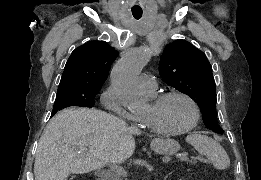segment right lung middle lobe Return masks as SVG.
Returning a JSON list of instances; mask_svg holds the SVG:
<instances>
[{"label": "right lung middle lobe", "mask_w": 261, "mask_h": 180, "mask_svg": "<svg viewBox=\"0 0 261 180\" xmlns=\"http://www.w3.org/2000/svg\"><path fill=\"white\" fill-rule=\"evenodd\" d=\"M101 88L89 86L59 87L53 106L52 116L70 106L93 107L94 97Z\"/></svg>", "instance_id": "obj_1"}]
</instances>
